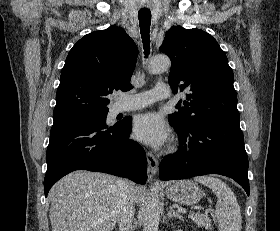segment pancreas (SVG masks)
I'll list each match as a JSON object with an SVG mask.
<instances>
[{
	"label": "pancreas",
	"mask_w": 280,
	"mask_h": 231,
	"mask_svg": "<svg viewBox=\"0 0 280 231\" xmlns=\"http://www.w3.org/2000/svg\"><path fill=\"white\" fill-rule=\"evenodd\" d=\"M191 219L197 223V225H204L205 229H212L211 219L204 213H191Z\"/></svg>",
	"instance_id": "cf45deb5"
}]
</instances>
